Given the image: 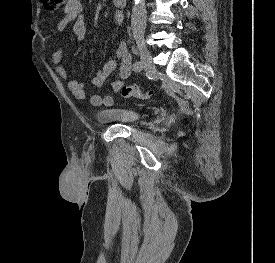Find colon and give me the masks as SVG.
<instances>
[{
  "label": "colon",
  "instance_id": "5ec220e1",
  "mask_svg": "<svg viewBox=\"0 0 275 263\" xmlns=\"http://www.w3.org/2000/svg\"><path fill=\"white\" fill-rule=\"evenodd\" d=\"M64 3L65 0H43L45 9L51 12L59 10ZM120 94L123 98L147 99L151 97L150 91L141 90L136 85L123 86Z\"/></svg>",
  "mask_w": 275,
  "mask_h": 263
}]
</instances>
